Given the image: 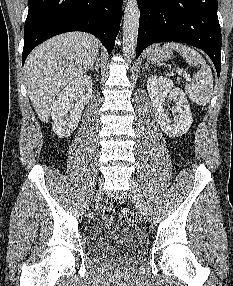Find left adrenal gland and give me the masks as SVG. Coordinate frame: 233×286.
Here are the masks:
<instances>
[{"instance_id": "a2214340", "label": "left adrenal gland", "mask_w": 233, "mask_h": 286, "mask_svg": "<svg viewBox=\"0 0 233 286\" xmlns=\"http://www.w3.org/2000/svg\"><path fill=\"white\" fill-rule=\"evenodd\" d=\"M145 70H150L149 67H148V63H146L144 68H143V71H145Z\"/></svg>"}]
</instances>
